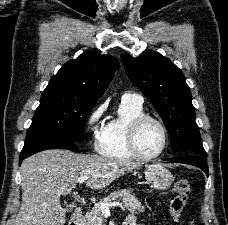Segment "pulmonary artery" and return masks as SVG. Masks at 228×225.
Here are the masks:
<instances>
[{
    "label": "pulmonary artery",
    "mask_w": 228,
    "mask_h": 225,
    "mask_svg": "<svg viewBox=\"0 0 228 225\" xmlns=\"http://www.w3.org/2000/svg\"><path fill=\"white\" fill-rule=\"evenodd\" d=\"M121 101L130 102L136 105H143L144 98L139 93L126 92L122 95Z\"/></svg>",
    "instance_id": "pulmonary-artery-1"
}]
</instances>
